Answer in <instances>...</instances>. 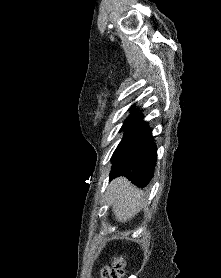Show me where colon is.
I'll use <instances>...</instances> for the list:
<instances>
[{"label": "colon", "mask_w": 221, "mask_h": 278, "mask_svg": "<svg viewBox=\"0 0 221 278\" xmlns=\"http://www.w3.org/2000/svg\"><path fill=\"white\" fill-rule=\"evenodd\" d=\"M125 265L122 259L114 257L111 266L103 268L101 278H123Z\"/></svg>", "instance_id": "1"}]
</instances>
